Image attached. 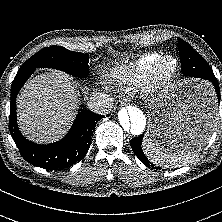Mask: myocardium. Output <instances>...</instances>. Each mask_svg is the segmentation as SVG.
I'll return each instance as SVG.
<instances>
[{
	"label": "myocardium",
	"mask_w": 222,
	"mask_h": 222,
	"mask_svg": "<svg viewBox=\"0 0 222 222\" xmlns=\"http://www.w3.org/2000/svg\"><path fill=\"white\" fill-rule=\"evenodd\" d=\"M166 62H172L169 71L164 72L163 66ZM179 63L172 55H163L152 66L150 74L146 79V85L150 90H157L167 86L177 75Z\"/></svg>",
	"instance_id": "myocardium-1"
}]
</instances>
